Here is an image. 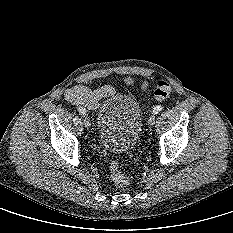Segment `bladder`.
I'll use <instances>...</instances> for the list:
<instances>
[{"mask_svg": "<svg viewBox=\"0 0 233 233\" xmlns=\"http://www.w3.org/2000/svg\"><path fill=\"white\" fill-rule=\"evenodd\" d=\"M143 124V111L136 99L126 94L106 98L97 111L99 139L111 152H126L136 143Z\"/></svg>", "mask_w": 233, "mask_h": 233, "instance_id": "1", "label": "bladder"}]
</instances>
